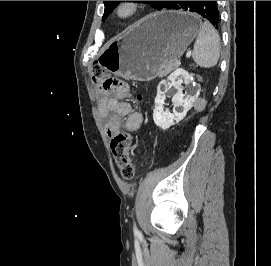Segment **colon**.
<instances>
[{
    "mask_svg": "<svg viewBox=\"0 0 271 266\" xmlns=\"http://www.w3.org/2000/svg\"><path fill=\"white\" fill-rule=\"evenodd\" d=\"M92 75L100 91L114 94L122 99L131 96L130 87L124 80L110 75L100 66L95 65L93 67ZM135 98L141 100L140 95H135ZM110 147L121 175L124 178H132L135 167L130 157L131 135L126 132L116 134L111 140Z\"/></svg>",
    "mask_w": 271,
    "mask_h": 266,
    "instance_id": "colon-1",
    "label": "colon"
}]
</instances>
